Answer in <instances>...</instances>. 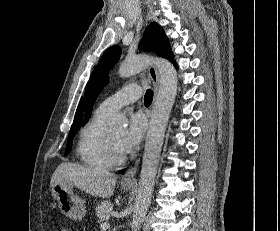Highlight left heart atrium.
Listing matches in <instances>:
<instances>
[{"label": "left heart atrium", "mask_w": 280, "mask_h": 231, "mask_svg": "<svg viewBox=\"0 0 280 231\" xmlns=\"http://www.w3.org/2000/svg\"><path fill=\"white\" fill-rule=\"evenodd\" d=\"M145 123L140 115H133L127 129L118 139V148L121 153L127 154L135 149L141 142L145 132Z\"/></svg>", "instance_id": "left-heart-atrium-1"}]
</instances>
